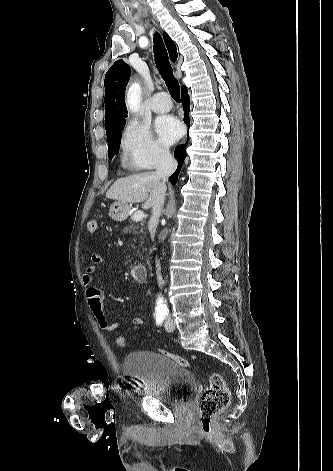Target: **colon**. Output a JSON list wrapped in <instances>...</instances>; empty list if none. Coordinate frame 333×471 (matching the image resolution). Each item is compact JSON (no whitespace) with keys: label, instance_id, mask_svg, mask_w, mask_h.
I'll list each match as a JSON object with an SVG mask.
<instances>
[{"label":"colon","instance_id":"5ec220e1","mask_svg":"<svg viewBox=\"0 0 333 471\" xmlns=\"http://www.w3.org/2000/svg\"><path fill=\"white\" fill-rule=\"evenodd\" d=\"M87 228L91 233L96 232L98 222L90 220ZM114 342L118 347H124L126 345V338L118 334L114 336ZM160 353L172 359L181 367L197 369L207 377L208 386L202 395L199 409V426L202 432L211 433L216 416L227 408L230 402V392L223 377L218 373L202 370L182 356L164 350L160 351Z\"/></svg>","mask_w":333,"mask_h":471}]
</instances>
